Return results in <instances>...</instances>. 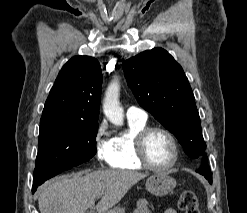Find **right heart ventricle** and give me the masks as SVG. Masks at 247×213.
Masks as SVG:
<instances>
[{"instance_id":"e07e8e85","label":"right heart ventricle","mask_w":247,"mask_h":213,"mask_svg":"<svg viewBox=\"0 0 247 213\" xmlns=\"http://www.w3.org/2000/svg\"><path fill=\"white\" fill-rule=\"evenodd\" d=\"M144 127H146V121L128 119V129L111 139V167L132 171L143 168L134 155V139Z\"/></svg>"}]
</instances>
